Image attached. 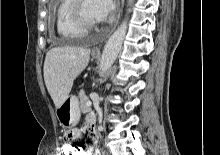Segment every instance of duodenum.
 <instances>
[{
    "instance_id": "obj_1",
    "label": "duodenum",
    "mask_w": 220,
    "mask_h": 155,
    "mask_svg": "<svg viewBox=\"0 0 220 155\" xmlns=\"http://www.w3.org/2000/svg\"><path fill=\"white\" fill-rule=\"evenodd\" d=\"M89 133L93 139L97 138L98 132H97L95 120L91 121L89 125Z\"/></svg>"
}]
</instances>
